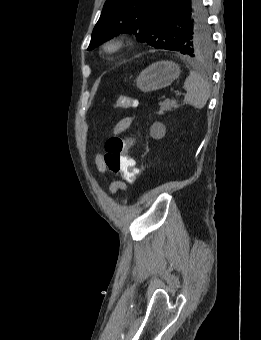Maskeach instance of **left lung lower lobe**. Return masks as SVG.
<instances>
[{
	"label": "left lung lower lobe",
	"instance_id": "1",
	"mask_svg": "<svg viewBox=\"0 0 261 340\" xmlns=\"http://www.w3.org/2000/svg\"><path fill=\"white\" fill-rule=\"evenodd\" d=\"M201 4L202 0H165L159 9L160 15L163 13L162 18L168 21H176L183 14L186 17H191L195 13L197 5Z\"/></svg>",
	"mask_w": 261,
	"mask_h": 340
}]
</instances>
